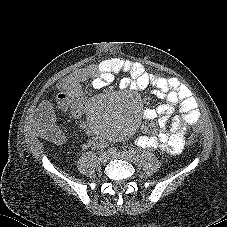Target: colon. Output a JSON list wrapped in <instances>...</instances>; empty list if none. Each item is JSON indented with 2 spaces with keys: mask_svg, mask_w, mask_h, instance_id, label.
<instances>
[{
  "mask_svg": "<svg viewBox=\"0 0 227 227\" xmlns=\"http://www.w3.org/2000/svg\"><path fill=\"white\" fill-rule=\"evenodd\" d=\"M42 132L45 138L51 142L60 143L64 140V134L54 125H46ZM183 142L188 147L195 146L197 144V137L195 135L188 134L184 137Z\"/></svg>",
  "mask_w": 227,
  "mask_h": 227,
  "instance_id": "obj_1",
  "label": "colon"
}]
</instances>
